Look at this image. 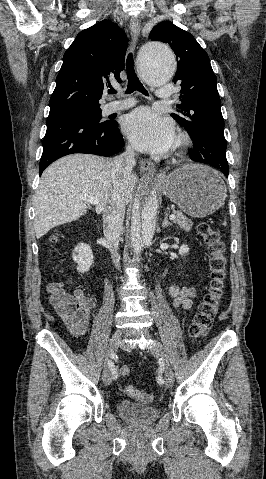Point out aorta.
<instances>
[{"instance_id": "obj_1", "label": "aorta", "mask_w": 266, "mask_h": 479, "mask_svg": "<svg viewBox=\"0 0 266 479\" xmlns=\"http://www.w3.org/2000/svg\"><path fill=\"white\" fill-rule=\"evenodd\" d=\"M138 61L143 77L153 86L167 83L174 75V54L166 44L160 42L145 44L139 51ZM158 207L156 189L147 184L143 185L131 224V245L137 256L142 253L144 244L151 242L154 236Z\"/></svg>"}]
</instances>
